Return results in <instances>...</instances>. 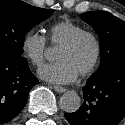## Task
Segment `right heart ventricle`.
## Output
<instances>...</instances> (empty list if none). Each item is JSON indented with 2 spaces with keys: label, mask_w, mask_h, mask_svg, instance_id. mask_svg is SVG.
Listing matches in <instances>:
<instances>
[{
  "label": "right heart ventricle",
  "mask_w": 125,
  "mask_h": 125,
  "mask_svg": "<svg viewBox=\"0 0 125 125\" xmlns=\"http://www.w3.org/2000/svg\"><path fill=\"white\" fill-rule=\"evenodd\" d=\"M84 28L71 20L59 21L48 29V38L53 46H60Z\"/></svg>",
  "instance_id": "obj_1"
}]
</instances>
